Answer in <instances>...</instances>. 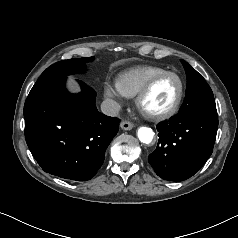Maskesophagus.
I'll list each match as a JSON object with an SVG mask.
<instances>
[{
  "mask_svg": "<svg viewBox=\"0 0 238 238\" xmlns=\"http://www.w3.org/2000/svg\"><path fill=\"white\" fill-rule=\"evenodd\" d=\"M120 127L123 129V130H131L133 128V124L129 121H126V120H123L121 123H120Z\"/></svg>",
  "mask_w": 238,
  "mask_h": 238,
  "instance_id": "1",
  "label": "esophagus"
}]
</instances>
